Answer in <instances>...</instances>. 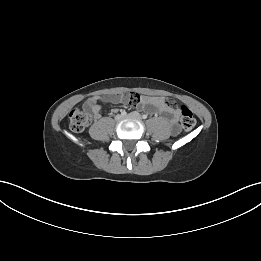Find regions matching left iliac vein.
<instances>
[{
  "mask_svg": "<svg viewBox=\"0 0 261 261\" xmlns=\"http://www.w3.org/2000/svg\"><path fill=\"white\" fill-rule=\"evenodd\" d=\"M127 117L141 119V115L138 112H131L130 114L127 115Z\"/></svg>",
  "mask_w": 261,
  "mask_h": 261,
  "instance_id": "4c4485c4",
  "label": "left iliac vein"
}]
</instances>
